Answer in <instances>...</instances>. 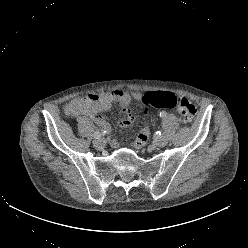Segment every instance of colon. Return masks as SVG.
<instances>
[{"label":"colon","mask_w":248,"mask_h":248,"mask_svg":"<svg viewBox=\"0 0 248 248\" xmlns=\"http://www.w3.org/2000/svg\"><path fill=\"white\" fill-rule=\"evenodd\" d=\"M142 102L146 112L151 108L174 109L180 113L185 122L193 121L197 114V108L191 101L172 93H147L143 96ZM149 135L148 124L144 123L136 137L135 147L138 149L144 147L149 140Z\"/></svg>","instance_id":"1"}]
</instances>
